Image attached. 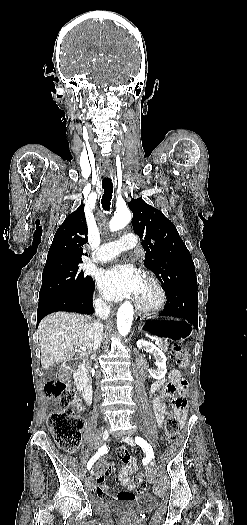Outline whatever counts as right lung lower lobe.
Here are the masks:
<instances>
[{"instance_id":"98d812e1","label":"right lung lower lobe","mask_w":247,"mask_h":525,"mask_svg":"<svg viewBox=\"0 0 247 525\" xmlns=\"http://www.w3.org/2000/svg\"><path fill=\"white\" fill-rule=\"evenodd\" d=\"M93 289L94 284L92 282L84 293L74 295H56L40 300L37 309V325L43 317L55 311L92 314L94 311L92 304Z\"/></svg>"}]
</instances>
